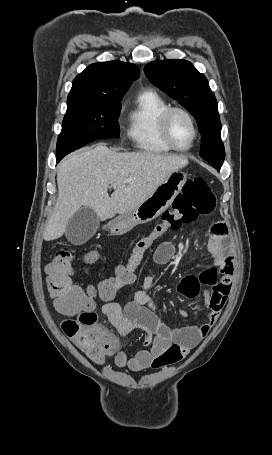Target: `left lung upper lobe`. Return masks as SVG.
I'll return each instance as SVG.
<instances>
[{"mask_svg":"<svg viewBox=\"0 0 272 455\" xmlns=\"http://www.w3.org/2000/svg\"><path fill=\"white\" fill-rule=\"evenodd\" d=\"M147 78L176 99L196 119L201 138V157L206 161L225 158L221 122L215 95L206 77L186 60H156L144 68Z\"/></svg>","mask_w":272,"mask_h":455,"instance_id":"5c2ea615","label":"left lung upper lobe"}]
</instances>
